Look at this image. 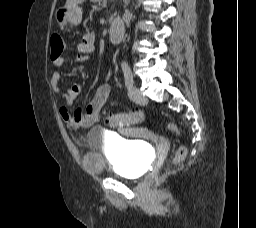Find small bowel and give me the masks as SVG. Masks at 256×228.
Wrapping results in <instances>:
<instances>
[{
    "instance_id": "small-bowel-1",
    "label": "small bowel",
    "mask_w": 256,
    "mask_h": 228,
    "mask_svg": "<svg viewBox=\"0 0 256 228\" xmlns=\"http://www.w3.org/2000/svg\"><path fill=\"white\" fill-rule=\"evenodd\" d=\"M78 60H86L95 50V36L93 33H86L81 40L74 45ZM54 66L61 67L65 62V55L61 53L58 56H51ZM61 74L54 72L50 79V86L54 93L61 95L63 105L60 107V115L68 127L73 131L87 128L100 120L101 112L111 95V86L108 82L102 83L96 90L93 99L84 108L77 109L73 114L70 113L69 107L81 92V85L73 83L68 89L61 93L59 82Z\"/></svg>"
}]
</instances>
